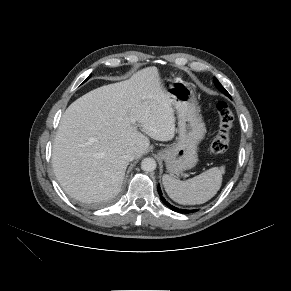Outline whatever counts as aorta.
Here are the masks:
<instances>
[{"instance_id":"aorta-1","label":"aorta","mask_w":291,"mask_h":291,"mask_svg":"<svg viewBox=\"0 0 291 291\" xmlns=\"http://www.w3.org/2000/svg\"><path fill=\"white\" fill-rule=\"evenodd\" d=\"M156 166V161L153 158H145L141 162V168L146 172L154 171Z\"/></svg>"}]
</instances>
